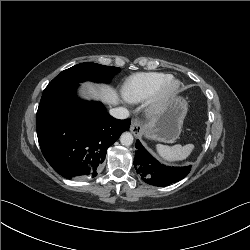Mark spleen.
<instances>
[{
  "mask_svg": "<svg viewBox=\"0 0 250 250\" xmlns=\"http://www.w3.org/2000/svg\"><path fill=\"white\" fill-rule=\"evenodd\" d=\"M194 149L193 144L184 146L176 144L174 146L157 145V151L167 162H174L186 159Z\"/></svg>",
  "mask_w": 250,
  "mask_h": 250,
  "instance_id": "spleen-1",
  "label": "spleen"
}]
</instances>
